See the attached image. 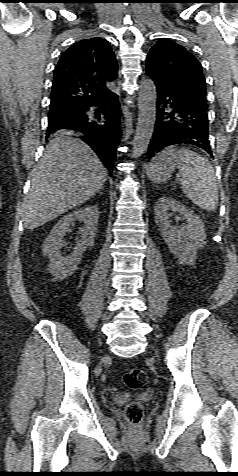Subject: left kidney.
I'll use <instances>...</instances> for the list:
<instances>
[{
	"label": "left kidney",
	"mask_w": 238,
	"mask_h": 476,
	"mask_svg": "<svg viewBox=\"0 0 238 476\" xmlns=\"http://www.w3.org/2000/svg\"><path fill=\"white\" fill-rule=\"evenodd\" d=\"M169 210L185 216L187 223L172 226L168 219ZM154 211L155 222L170 252L178 257L180 264L193 265L197 250L205 245L206 234L201 218L179 201L165 196L157 200Z\"/></svg>",
	"instance_id": "1"
}]
</instances>
